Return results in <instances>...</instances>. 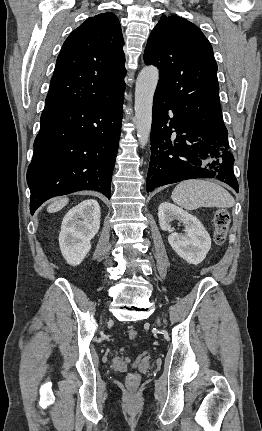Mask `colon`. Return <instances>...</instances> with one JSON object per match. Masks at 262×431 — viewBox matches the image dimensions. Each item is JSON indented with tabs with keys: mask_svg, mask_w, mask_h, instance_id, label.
<instances>
[{
	"mask_svg": "<svg viewBox=\"0 0 262 431\" xmlns=\"http://www.w3.org/2000/svg\"><path fill=\"white\" fill-rule=\"evenodd\" d=\"M230 225V216L226 209H217L215 212V216L213 219V226H214V240L217 244H223L228 228ZM130 339H135L138 337V331L135 329H132L128 333ZM140 377L137 373L133 372L130 373L127 378V383L131 386H135L139 383Z\"/></svg>",
	"mask_w": 262,
	"mask_h": 431,
	"instance_id": "obj_1",
	"label": "colon"
}]
</instances>
